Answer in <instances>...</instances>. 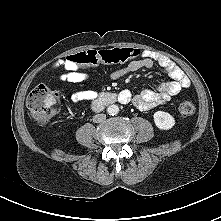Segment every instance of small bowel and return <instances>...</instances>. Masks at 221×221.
I'll list each match as a JSON object with an SVG mask.
<instances>
[{
	"label": "small bowel",
	"instance_id": "1",
	"mask_svg": "<svg viewBox=\"0 0 221 221\" xmlns=\"http://www.w3.org/2000/svg\"><path fill=\"white\" fill-rule=\"evenodd\" d=\"M158 66L169 77L170 81L160 84L156 88H143L132 95L130 91L125 90L121 92V96L128 97L127 102H131L136 108L140 110H149L158 105H161L171 97L177 95L181 90L190 86V80L183 70L177 66L168 57L153 52L144 51L141 53L139 59L130 61L127 65L113 70L109 77L112 80L120 79L129 73L135 72L142 68H154ZM56 68H65L66 73L60 75V80L69 83H80L88 79V75L80 71L77 67L71 66L65 60H60L55 64ZM98 98V92L95 90H81L71 94V101L73 103L91 102Z\"/></svg>",
	"mask_w": 221,
	"mask_h": 221
}]
</instances>
